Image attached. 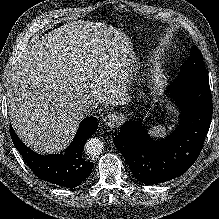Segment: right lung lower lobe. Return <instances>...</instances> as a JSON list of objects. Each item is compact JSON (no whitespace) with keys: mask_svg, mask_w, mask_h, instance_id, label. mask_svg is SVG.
Segmentation results:
<instances>
[{"mask_svg":"<svg viewBox=\"0 0 219 219\" xmlns=\"http://www.w3.org/2000/svg\"><path fill=\"white\" fill-rule=\"evenodd\" d=\"M98 128L96 117L85 118L68 148L63 153L40 155L30 150L10 127V135L14 146L18 149L30 169L41 180L68 188L77 187L90 175L93 162L82 156L86 140Z\"/></svg>","mask_w":219,"mask_h":219,"instance_id":"right-lung-lower-lobe-1","label":"right lung lower lobe"}]
</instances>
